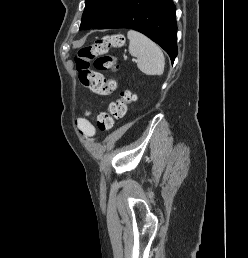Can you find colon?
Wrapping results in <instances>:
<instances>
[{
    "label": "colon",
    "mask_w": 248,
    "mask_h": 258,
    "mask_svg": "<svg viewBox=\"0 0 248 258\" xmlns=\"http://www.w3.org/2000/svg\"><path fill=\"white\" fill-rule=\"evenodd\" d=\"M124 44V36L114 33L97 39L93 44L83 46L75 57V66L81 84L91 93L97 95H108L114 86L106 81L99 71H116L119 67L117 56L108 51L111 47H121ZM91 65L97 71L91 70ZM134 95L123 90L120 98L110 103L107 111L97 115V127L101 132L110 131L114 120L122 119L127 111V105L134 101Z\"/></svg>",
    "instance_id": "1"
}]
</instances>
